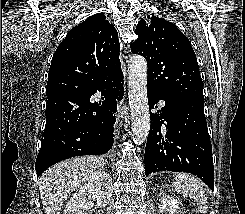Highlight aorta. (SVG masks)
Returning <instances> with one entry per match:
<instances>
[{
    "label": "aorta",
    "instance_id": "762f6f07",
    "mask_svg": "<svg viewBox=\"0 0 245 214\" xmlns=\"http://www.w3.org/2000/svg\"><path fill=\"white\" fill-rule=\"evenodd\" d=\"M128 97L133 141L141 145L149 134L150 114L147 97V62L140 55H133L128 63Z\"/></svg>",
    "mask_w": 245,
    "mask_h": 214
}]
</instances>
